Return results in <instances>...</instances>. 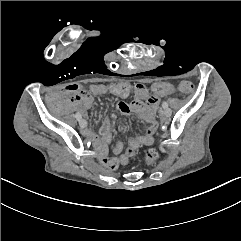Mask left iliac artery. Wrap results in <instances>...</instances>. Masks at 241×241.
I'll return each mask as SVG.
<instances>
[{
  "mask_svg": "<svg viewBox=\"0 0 241 241\" xmlns=\"http://www.w3.org/2000/svg\"><path fill=\"white\" fill-rule=\"evenodd\" d=\"M162 107H163L164 109L167 108V107H168L167 102L164 101V102L162 103Z\"/></svg>",
  "mask_w": 241,
  "mask_h": 241,
  "instance_id": "44dca946",
  "label": "left iliac artery"
}]
</instances>
